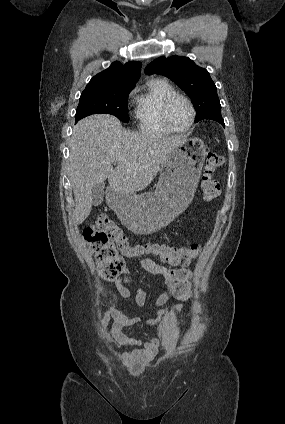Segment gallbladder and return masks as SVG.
Listing matches in <instances>:
<instances>
[{
	"label": "gallbladder",
	"mask_w": 285,
	"mask_h": 424,
	"mask_svg": "<svg viewBox=\"0 0 285 424\" xmlns=\"http://www.w3.org/2000/svg\"><path fill=\"white\" fill-rule=\"evenodd\" d=\"M104 183H98L92 187V204L99 206L104 200Z\"/></svg>",
	"instance_id": "bac80fb5"
}]
</instances>
